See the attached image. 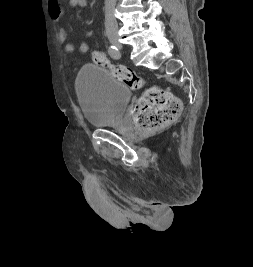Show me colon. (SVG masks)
<instances>
[{"instance_id": "5ec220e1", "label": "colon", "mask_w": 253, "mask_h": 267, "mask_svg": "<svg viewBox=\"0 0 253 267\" xmlns=\"http://www.w3.org/2000/svg\"><path fill=\"white\" fill-rule=\"evenodd\" d=\"M78 51L86 54L89 52V46L85 42H80ZM92 58L97 65L108 69L130 88L140 89L143 86L142 77L126 66L111 63L103 52L94 51ZM180 111L179 99L164 89L152 87L147 89L139 99L133 113V122L141 133L148 134L174 121Z\"/></svg>"}]
</instances>
